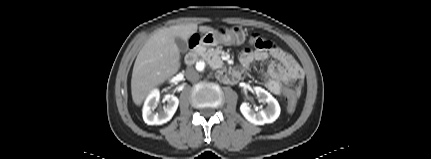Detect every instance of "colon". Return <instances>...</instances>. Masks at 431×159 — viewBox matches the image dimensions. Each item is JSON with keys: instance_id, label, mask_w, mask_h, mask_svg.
Wrapping results in <instances>:
<instances>
[{"instance_id": "1", "label": "colon", "mask_w": 431, "mask_h": 159, "mask_svg": "<svg viewBox=\"0 0 431 159\" xmlns=\"http://www.w3.org/2000/svg\"><path fill=\"white\" fill-rule=\"evenodd\" d=\"M256 37H260L258 34H253V36H249V39L246 41V46L247 47H253L256 44L257 38ZM297 95L296 93H293L291 97H289V95H285L284 96V100L285 102H288V111L289 112H294L296 105L293 103V96Z\"/></svg>"}]
</instances>
